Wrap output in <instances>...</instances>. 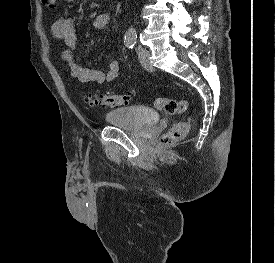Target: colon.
Returning a JSON list of instances; mask_svg holds the SVG:
<instances>
[{"label": "colon", "mask_w": 275, "mask_h": 263, "mask_svg": "<svg viewBox=\"0 0 275 263\" xmlns=\"http://www.w3.org/2000/svg\"><path fill=\"white\" fill-rule=\"evenodd\" d=\"M42 4L50 9H54L57 0H41ZM85 101L94 107H117L129 104L134 100V93H107V94H86ZM155 107L168 115L187 114L190 111V104L187 99H172L159 97L155 99ZM192 117L188 115L184 120L175 123L161 137L163 145H172L189 132L191 128Z\"/></svg>", "instance_id": "colon-1"}]
</instances>
